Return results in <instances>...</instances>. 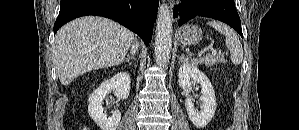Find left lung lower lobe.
<instances>
[{
    "mask_svg": "<svg viewBox=\"0 0 299 130\" xmlns=\"http://www.w3.org/2000/svg\"><path fill=\"white\" fill-rule=\"evenodd\" d=\"M177 11L180 14L179 26L196 16L209 17L228 24L243 37L234 0H181Z\"/></svg>",
    "mask_w": 299,
    "mask_h": 130,
    "instance_id": "0a47b994",
    "label": "left lung lower lobe"
}]
</instances>
